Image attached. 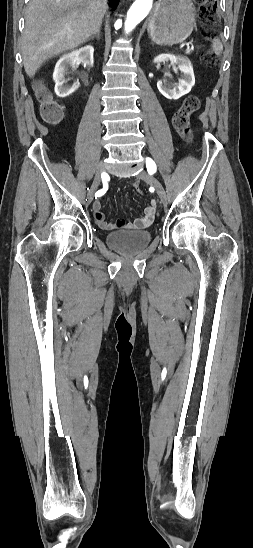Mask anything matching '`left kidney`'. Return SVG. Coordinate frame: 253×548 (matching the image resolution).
<instances>
[{
  "label": "left kidney",
  "mask_w": 253,
  "mask_h": 548,
  "mask_svg": "<svg viewBox=\"0 0 253 548\" xmlns=\"http://www.w3.org/2000/svg\"><path fill=\"white\" fill-rule=\"evenodd\" d=\"M170 61L171 64L177 65L178 69L182 73V77L177 84H167L163 81L157 82V88L159 92L170 100H177L183 95L189 93L191 88L195 84V77L193 67L190 60L187 57L175 56L171 54H161L154 58V63L160 64L161 62Z\"/></svg>",
  "instance_id": "5707ae66"
}]
</instances>
